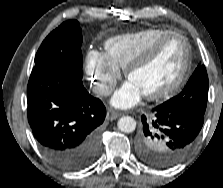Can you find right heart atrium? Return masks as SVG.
Segmentation results:
<instances>
[{"label":"right heart atrium","mask_w":223,"mask_h":188,"mask_svg":"<svg viewBox=\"0 0 223 188\" xmlns=\"http://www.w3.org/2000/svg\"><path fill=\"white\" fill-rule=\"evenodd\" d=\"M85 72L98 96L110 94L120 77L119 68L103 52L91 50L87 54Z\"/></svg>","instance_id":"1"}]
</instances>
